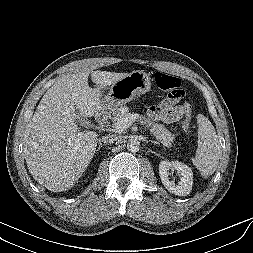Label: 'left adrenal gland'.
<instances>
[{
    "instance_id": "a2214340",
    "label": "left adrenal gland",
    "mask_w": 253,
    "mask_h": 253,
    "mask_svg": "<svg viewBox=\"0 0 253 253\" xmlns=\"http://www.w3.org/2000/svg\"><path fill=\"white\" fill-rule=\"evenodd\" d=\"M151 143L160 145V143L157 141H151Z\"/></svg>"
}]
</instances>
